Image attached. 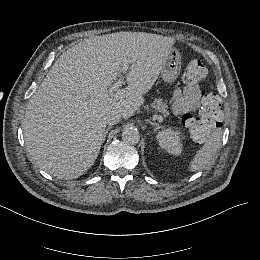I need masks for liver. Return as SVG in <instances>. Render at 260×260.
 Masks as SVG:
<instances>
[{"label":"liver","instance_id":"liver-1","mask_svg":"<svg viewBox=\"0 0 260 260\" xmlns=\"http://www.w3.org/2000/svg\"><path fill=\"white\" fill-rule=\"evenodd\" d=\"M174 44L172 37L118 32L65 51L29 99L22 121L32 164L62 180L91 169L105 139L107 115L116 111L128 119L140 110ZM125 60L131 63L128 86L111 94Z\"/></svg>","mask_w":260,"mask_h":260}]
</instances>
